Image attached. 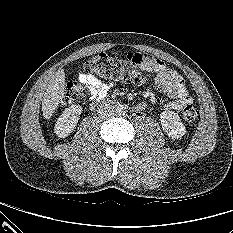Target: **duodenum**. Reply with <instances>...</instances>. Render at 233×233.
<instances>
[{"label": "duodenum", "instance_id": "1", "mask_svg": "<svg viewBox=\"0 0 233 233\" xmlns=\"http://www.w3.org/2000/svg\"><path fill=\"white\" fill-rule=\"evenodd\" d=\"M117 104H119V102L113 98H107L103 100L101 103L102 106H110V105H117Z\"/></svg>", "mask_w": 233, "mask_h": 233}]
</instances>
